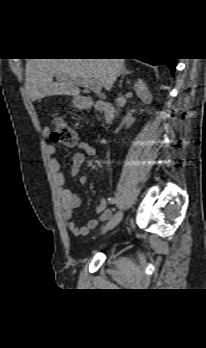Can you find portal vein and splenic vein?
Wrapping results in <instances>:
<instances>
[{
  "label": "portal vein and splenic vein",
  "instance_id": "1",
  "mask_svg": "<svg viewBox=\"0 0 206 348\" xmlns=\"http://www.w3.org/2000/svg\"><path fill=\"white\" fill-rule=\"evenodd\" d=\"M76 82L86 88L92 89L93 91H99L101 89V84L95 79H77Z\"/></svg>",
  "mask_w": 206,
  "mask_h": 348
}]
</instances>
